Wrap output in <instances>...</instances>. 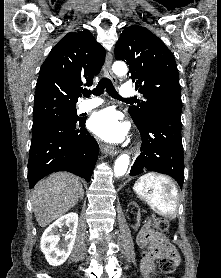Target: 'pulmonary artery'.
<instances>
[{"instance_id":"obj_1","label":"pulmonary artery","mask_w":221,"mask_h":278,"mask_svg":"<svg viewBox=\"0 0 221 278\" xmlns=\"http://www.w3.org/2000/svg\"><path fill=\"white\" fill-rule=\"evenodd\" d=\"M120 95L123 98L130 99V98H133L136 95V91L133 87H131L129 85H124L121 88ZM102 103H103V100H101L99 98H93V99L82 102L79 105V109H80V111H83V112L84 111H89L91 109H94V108L98 107Z\"/></svg>"}]
</instances>
